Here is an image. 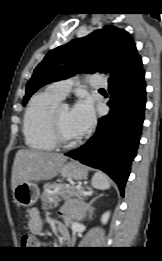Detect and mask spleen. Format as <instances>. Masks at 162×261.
I'll return each mask as SVG.
<instances>
[{"mask_svg": "<svg viewBox=\"0 0 162 261\" xmlns=\"http://www.w3.org/2000/svg\"><path fill=\"white\" fill-rule=\"evenodd\" d=\"M92 186L98 190H106L110 188V180L103 172H96L92 178Z\"/></svg>", "mask_w": 162, "mask_h": 261, "instance_id": "spleen-1", "label": "spleen"}]
</instances>
